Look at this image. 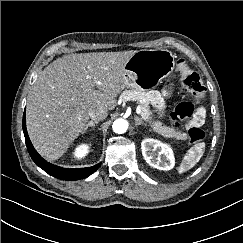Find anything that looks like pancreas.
<instances>
[{
  "mask_svg": "<svg viewBox=\"0 0 243 243\" xmlns=\"http://www.w3.org/2000/svg\"><path fill=\"white\" fill-rule=\"evenodd\" d=\"M121 98L123 101L134 100L140 102L141 104L140 115L142 119H144L147 122H150L152 112L149 107L147 94L145 90H143L142 88L125 90L121 94Z\"/></svg>",
  "mask_w": 243,
  "mask_h": 243,
  "instance_id": "pancreas-1",
  "label": "pancreas"
}]
</instances>
